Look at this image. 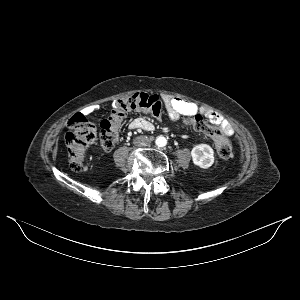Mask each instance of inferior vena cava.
Here are the masks:
<instances>
[{"instance_id": "1", "label": "inferior vena cava", "mask_w": 300, "mask_h": 300, "mask_svg": "<svg viewBox=\"0 0 300 300\" xmlns=\"http://www.w3.org/2000/svg\"><path fill=\"white\" fill-rule=\"evenodd\" d=\"M133 143L137 147H146L150 145L151 140L147 136H138L133 140Z\"/></svg>"}]
</instances>
